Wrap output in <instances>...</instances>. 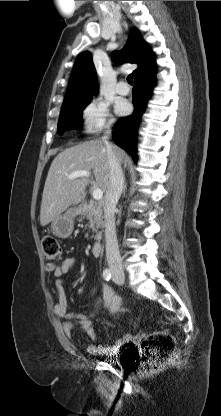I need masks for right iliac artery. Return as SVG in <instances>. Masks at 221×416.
Returning <instances> with one entry per match:
<instances>
[{
    "label": "right iliac artery",
    "instance_id": "1",
    "mask_svg": "<svg viewBox=\"0 0 221 416\" xmlns=\"http://www.w3.org/2000/svg\"><path fill=\"white\" fill-rule=\"evenodd\" d=\"M103 277H104V279H105V280H107V281L111 278V272H110V270H109V269H105V270L103 271Z\"/></svg>",
    "mask_w": 221,
    "mask_h": 416
}]
</instances>
